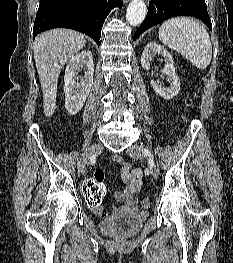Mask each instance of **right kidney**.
<instances>
[{"instance_id":"1","label":"right kidney","mask_w":233,"mask_h":263,"mask_svg":"<svg viewBox=\"0 0 233 263\" xmlns=\"http://www.w3.org/2000/svg\"><path fill=\"white\" fill-rule=\"evenodd\" d=\"M85 69V75L78 72ZM94 64L92 52L83 50L72 57L65 69L64 94L65 108L71 114H77L83 107L93 84Z\"/></svg>"}]
</instances>
